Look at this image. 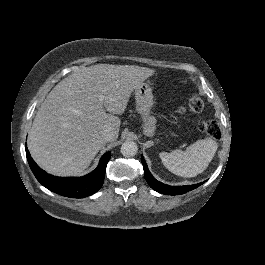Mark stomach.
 Listing matches in <instances>:
<instances>
[{
	"instance_id": "1",
	"label": "stomach",
	"mask_w": 265,
	"mask_h": 265,
	"mask_svg": "<svg viewBox=\"0 0 265 265\" xmlns=\"http://www.w3.org/2000/svg\"><path fill=\"white\" fill-rule=\"evenodd\" d=\"M134 96L137 103V110L142 115H148L153 105L152 88L147 82L142 81L138 86L134 88ZM145 133L146 135H152L155 119L153 117H147L145 119Z\"/></svg>"
}]
</instances>
